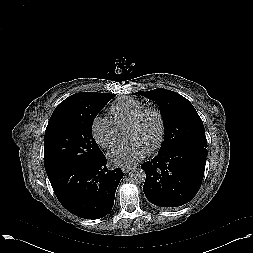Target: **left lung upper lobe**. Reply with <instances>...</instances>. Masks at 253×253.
I'll use <instances>...</instances> for the list:
<instances>
[{"instance_id": "obj_1", "label": "left lung upper lobe", "mask_w": 253, "mask_h": 253, "mask_svg": "<svg viewBox=\"0 0 253 253\" xmlns=\"http://www.w3.org/2000/svg\"><path fill=\"white\" fill-rule=\"evenodd\" d=\"M135 94L155 101L160 108L165 137L159 152L182 144L207 147L203 122L188 99L163 88L139 91Z\"/></svg>"}]
</instances>
